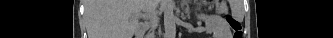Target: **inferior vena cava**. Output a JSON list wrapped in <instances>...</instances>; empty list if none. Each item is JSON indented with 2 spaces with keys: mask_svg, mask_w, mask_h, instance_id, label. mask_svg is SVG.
I'll list each match as a JSON object with an SVG mask.
<instances>
[{
  "mask_svg": "<svg viewBox=\"0 0 333 38\" xmlns=\"http://www.w3.org/2000/svg\"><path fill=\"white\" fill-rule=\"evenodd\" d=\"M147 18H149L150 25H154L156 23V18L154 16V12L147 14Z\"/></svg>",
  "mask_w": 333,
  "mask_h": 38,
  "instance_id": "1",
  "label": "inferior vena cava"
}]
</instances>
